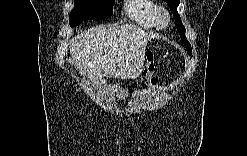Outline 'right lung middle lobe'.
<instances>
[{
    "instance_id": "obj_1",
    "label": "right lung middle lobe",
    "mask_w": 247,
    "mask_h": 156,
    "mask_svg": "<svg viewBox=\"0 0 247 156\" xmlns=\"http://www.w3.org/2000/svg\"><path fill=\"white\" fill-rule=\"evenodd\" d=\"M114 0H74V8L69 16L70 26L83 21L102 20L113 14Z\"/></svg>"
}]
</instances>
